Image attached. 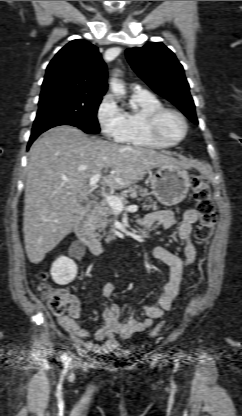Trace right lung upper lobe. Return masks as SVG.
<instances>
[{"mask_svg": "<svg viewBox=\"0 0 242 416\" xmlns=\"http://www.w3.org/2000/svg\"><path fill=\"white\" fill-rule=\"evenodd\" d=\"M107 69L96 46L85 40H73L51 60L40 96L75 93L103 96L107 91Z\"/></svg>", "mask_w": 242, "mask_h": 416, "instance_id": "cb5924a9", "label": "right lung upper lobe"}]
</instances>
